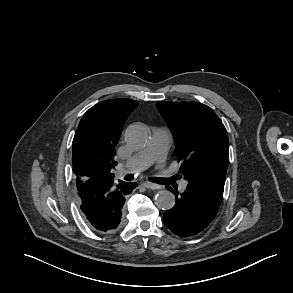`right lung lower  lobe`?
<instances>
[{
    "label": "right lung lower lobe",
    "instance_id": "98d812e1",
    "mask_svg": "<svg viewBox=\"0 0 293 293\" xmlns=\"http://www.w3.org/2000/svg\"><path fill=\"white\" fill-rule=\"evenodd\" d=\"M114 179L76 180L78 202L86 223L99 232H113L122 224V209L125 197L137 186V183Z\"/></svg>",
    "mask_w": 293,
    "mask_h": 293
}]
</instances>
